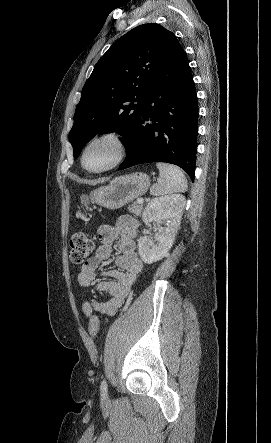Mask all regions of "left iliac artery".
Returning a JSON list of instances; mask_svg holds the SVG:
<instances>
[{
    "instance_id": "obj_1",
    "label": "left iliac artery",
    "mask_w": 271,
    "mask_h": 443,
    "mask_svg": "<svg viewBox=\"0 0 271 443\" xmlns=\"http://www.w3.org/2000/svg\"><path fill=\"white\" fill-rule=\"evenodd\" d=\"M100 390L103 397L107 396V382L105 380L101 382Z\"/></svg>"
}]
</instances>
